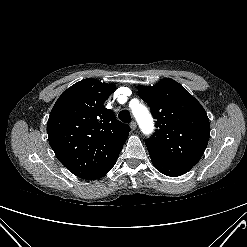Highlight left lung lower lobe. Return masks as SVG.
<instances>
[{"label": "left lung lower lobe", "mask_w": 247, "mask_h": 247, "mask_svg": "<svg viewBox=\"0 0 247 247\" xmlns=\"http://www.w3.org/2000/svg\"><path fill=\"white\" fill-rule=\"evenodd\" d=\"M151 161L154 165V167L160 171L161 173L176 177L185 174L188 172L193 166L183 163L174 162L171 160H168L166 158H163L160 155L154 154L149 152Z\"/></svg>", "instance_id": "left-lung-lower-lobe-1"}]
</instances>
